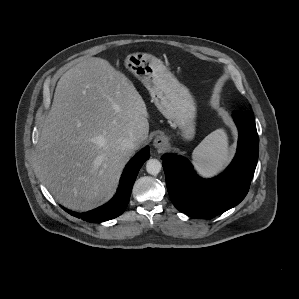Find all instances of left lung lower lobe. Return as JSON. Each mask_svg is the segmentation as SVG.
<instances>
[{"label": "left lung lower lobe", "instance_id": "1", "mask_svg": "<svg viewBox=\"0 0 299 299\" xmlns=\"http://www.w3.org/2000/svg\"><path fill=\"white\" fill-rule=\"evenodd\" d=\"M239 138L236 155L219 176L202 179L182 156L163 155V168L170 199L185 214L199 218L219 215L246 196L258 160V134L251 110L234 111Z\"/></svg>", "mask_w": 299, "mask_h": 299}]
</instances>
